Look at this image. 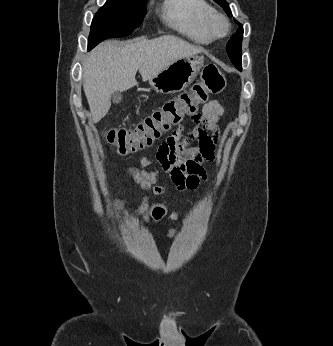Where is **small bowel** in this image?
<instances>
[{
    "label": "small bowel",
    "instance_id": "small-bowel-1",
    "mask_svg": "<svg viewBox=\"0 0 333 346\" xmlns=\"http://www.w3.org/2000/svg\"><path fill=\"white\" fill-rule=\"evenodd\" d=\"M223 113V107L218 101H209L203 106L199 118L194 119L195 127L186 131V122H180L158 147L156 158L162 172L170 177V183L179 191H193L206 179L204 164L213 159L219 141V124ZM192 140L198 142L197 147L187 146ZM140 163L146 167L151 161L148 157H141ZM127 172L144 189L156 195L164 194L169 188L168 183L152 186L160 177V172L135 168H129ZM115 205L122 206L123 201H117Z\"/></svg>",
    "mask_w": 333,
    "mask_h": 346
}]
</instances>
